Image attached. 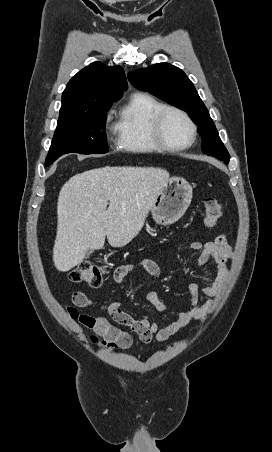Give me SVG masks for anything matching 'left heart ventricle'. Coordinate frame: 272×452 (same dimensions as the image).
Here are the masks:
<instances>
[{"instance_id":"b2bd125f","label":"left heart ventricle","mask_w":272,"mask_h":452,"mask_svg":"<svg viewBox=\"0 0 272 452\" xmlns=\"http://www.w3.org/2000/svg\"><path fill=\"white\" fill-rule=\"evenodd\" d=\"M162 129L165 139L171 144H182L190 139V129L182 116L167 112L163 118Z\"/></svg>"}]
</instances>
